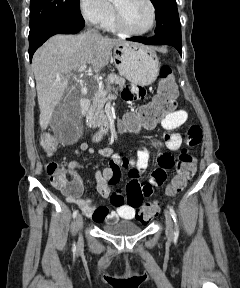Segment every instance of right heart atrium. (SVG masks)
Masks as SVG:
<instances>
[{
  "mask_svg": "<svg viewBox=\"0 0 240 288\" xmlns=\"http://www.w3.org/2000/svg\"><path fill=\"white\" fill-rule=\"evenodd\" d=\"M79 7L83 17L96 25H104L114 16L108 0H79Z\"/></svg>",
  "mask_w": 240,
  "mask_h": 288,
  "instance_id": "d8ad5b80",
  "label": "right heart atrium"
}]
</instances>
